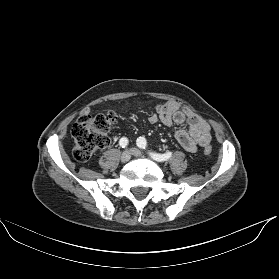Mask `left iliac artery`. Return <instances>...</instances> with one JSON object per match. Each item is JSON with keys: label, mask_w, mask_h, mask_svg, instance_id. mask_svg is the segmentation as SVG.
<instances>
[{"label": "left iliac artery", "mask_w": 279, "mask_h": 279, "mask_svg": "<svg viewBox=\"0 0 279 279\" xmlns=\"http://www.w3.org/2000/svg\"><path fill=\"white\" fill-rule=\"evenodd\" d=\"M137 146L141 149H146L147 148V141L144 137H139L137 139ZM149 155L155 159L156 161L162 162V161H166L169 158H171L172 156V152H167L164 154H158L152 151H148Z\"/></svg>", "instance_id": "1"}]
</instances>
